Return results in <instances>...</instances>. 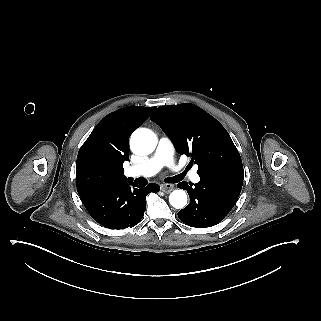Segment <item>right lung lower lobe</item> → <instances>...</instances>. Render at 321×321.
Returning <instances> with one entry per match:
<instances>
[{"label": "right lung lower lobe", "instance_id": "98d812e1", "mask_svg": "<svg viewBox=\"0 0 321 321\" xmlns=\"http://www.w3.org/2000/svg\"><path fill=\"white\" fill-rule=\"evenodd\" d=\"M160 187L151 183L146 187L132 182L112 188H100L80 194L91 217L104 227L124 229L137 225L145 212V198Z\"/></svg>", "mask_w": 321, "mask_h": 321}]
</instances>
